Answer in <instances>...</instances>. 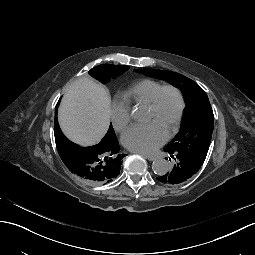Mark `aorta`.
Listing matches in <instances>:
<instances>
[{
	"label": "aorta",
	"instance_id": "762f6f07",
	"mask_svg": "<svg viewBox=\"0 0 255 255\" xmlns=\"http://www.w3.org/2000/svg\"><path fill=\"white\" fill-rule=\"evenodd\" d=\"M131 116L134 120H142L144 119V113L140 109H135L132 111ZM152 170L157 175H164L169 171V164L166 159L158 158L155 159L152 163Z\"/></svg>",
	"mask_w": 255,
	"mask_h": 255
}]
</instances>
